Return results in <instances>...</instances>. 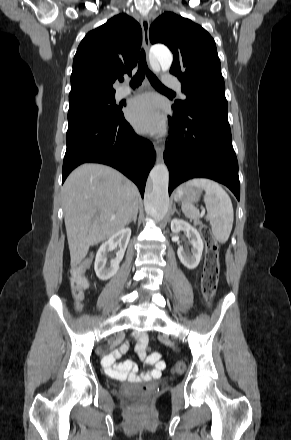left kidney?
<instances>
[{"label": "left kidney", "mask_w": 291, "mask_h": 440, "mask_svg": "<svg viewBox=\"0 0 291 440\" xmlns=\"http://www.w3.org/2000/svg\"><path fill=\"white\" fill-rule=\"evenodd\" d=\"M171 231L173 233H179L184 231L187 238L189 239L192 247L191 252H187L182 246L178 247L177 254L181 263L188 269H194L198 266L202 252H203V241L197 229L190 225L188 222L174 218L171 221Z\"/></svg>", "instance_id": "left-kidney-1"}]
</instances>
